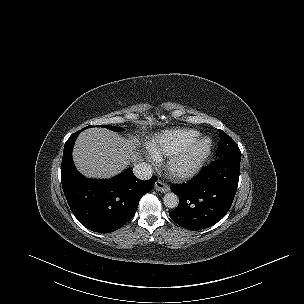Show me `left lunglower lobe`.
<instances>
[{
  "label": "left lung lower lobe",
  "instance_id": "left-lung-lower-lobe-1",
  "mask_svg": "<svg viewBox=\"0 0 304 304\" xmlns=\"http://www.w3.org/2000/svg\"><path fill=\"white\" fill-rule=\"evenodd\" d=\"M241 153L220 156L183 185L171 186L178 207L169 213L178 225L189 230L208 228L228 212L236 194Z\"/></svg>",
  "mask_w": 304,
  "mask_h": 304
}]
</instances>
